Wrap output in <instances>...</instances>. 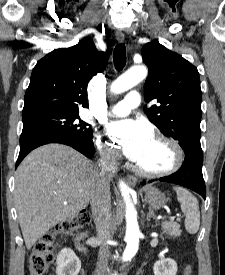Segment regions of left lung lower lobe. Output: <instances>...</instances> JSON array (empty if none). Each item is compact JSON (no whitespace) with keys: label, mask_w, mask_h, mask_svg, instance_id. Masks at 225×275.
Instances as JSON below:
<instances>
[{"label":"left lung lower lobe","mask_w":225,"mask_h":275,"mask_svg":"<svg viewBox=\"0 0 225 275\" xmlns=\"http://www.w3.org/2000/svg\"><path fill=\"white\" fill-rule=\"evenodd\" d=\"M185 153L181 168L174 174L160 178L162 182H170L185 186L206 197L205 183L202 175L203 154L201 148H191ZM146 182H142L145 184Z\"/></svg>","instance_id":"obj_1"}]
</instances>
